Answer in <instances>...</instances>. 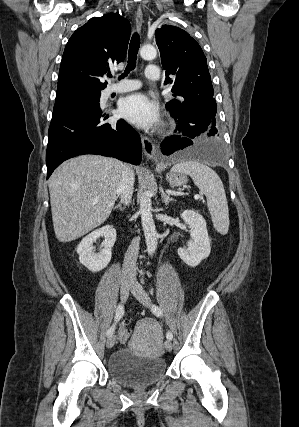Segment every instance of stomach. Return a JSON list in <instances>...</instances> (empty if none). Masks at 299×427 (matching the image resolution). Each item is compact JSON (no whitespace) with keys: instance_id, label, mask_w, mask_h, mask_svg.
<instances>
[{"instance_id":"obj_1","label":"stomach","mask_w":299,"mask_h":427,"mask_svg":"<svg viewBox=\"0 0 299 427\" xmlns=\"http://www.w3.org/2000/svg\"><path fill=\"white\" fill-rule=\"evenodd\" d=\"M167 181L173 187H181L187 184L188 178L184 173L170 172L166 176Z\"/></svg>"}]
</instances>
